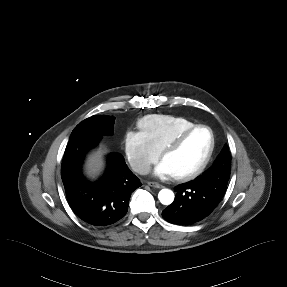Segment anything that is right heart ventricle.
I'll list each match as a JSON object with an SVG mask.
<instances>
[{"instance_id":"e07e8e85","label":"right heart ventricle","mask_w":287,"mask_h":287,"mask_svg":"<svg viewBox=\"0 0 287 287\" xmlns=\"http://www.w3.org/2000/svg\"><path fill=\"white\" fill-rule=\"evenodd\" d=\"M138 125L141 132L160 152L180 132L194 126L195 123L184 116L151 114L143 117Z\"/></svg>"}]
</instances>
